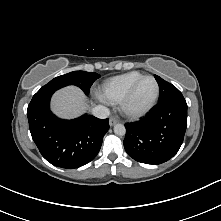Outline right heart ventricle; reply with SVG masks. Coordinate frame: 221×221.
<instances>
[{"label":"right heart ventricle","mask_w":221,"mask_h":221,"mask_svg":"<svg viewBox=\"0 0 221 221\" xmlns=\"http://www.w3.org/2000/svg\"><path fill=\"white\" fill-rule=\"evenodd\" d=\"M142 76V73L132 71L112 77L102 84L100 96L108 102H120L130 87Z\"/></svg>","instance_id":"1"}]
</instances>
